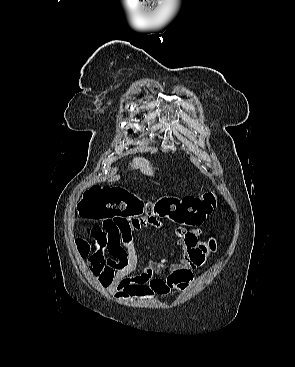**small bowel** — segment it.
<instances>
[{"label": "small bowel", "instance_id": "c3829d8e", "mask_svg": "<svg viewBox=\"0 0 295 367\" xmlns=\"http://www.w3.org/2000/svg\"><path fill=\"white\" fill-rule=\"evenodd\" d=\"M148 225L160 228L163 223L152 217L102 222L101 230L110 257L96 276L116 299L169 297L174 291H183L194 280V270L204 266L214 250V245L203 238L200 229L179 224L174 231L183 250L182 258L167 264L147 257L144 271L133 275L139 260L133 233ZM162 272L168 273L165 279L154 277Z\"/></svg>", "mask_w": 295, "mask_h": 367}]
</instances>
